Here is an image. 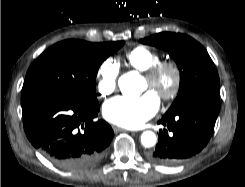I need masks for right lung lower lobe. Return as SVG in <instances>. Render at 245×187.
<instances>
[{
  "mask_svg": "<svg viewBox=\"0 0 245 187\" xmlns=\"http://www.w3.org/2000/svg\"><path fill=\"white\" fill-rule=\"evenodd\" d=\"M99 105L60 95H45L22 103L24 130L32 145L48 160L68 171L91 168L103 157L114 132L95 121Z\"/></svg>",
  "mask_w": 245,
  "mask_h": 187,
  "instance_id": "98d812e1",
  "label": "right lung lower lobe"
}]
</instances>
